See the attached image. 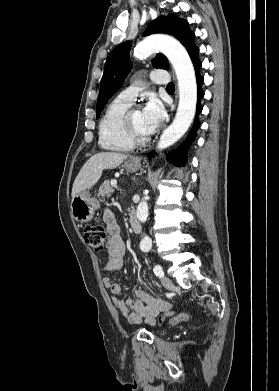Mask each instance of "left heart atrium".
<instances>
[{"label": "left heart atrium", "instance_id": "1", "mask_svg": "<svg viewBox=\"0 0 279 391\" xmlns=\"http://www.w3.org/2000/svg\"><path fill=\"white\" fill-rule=\"evenodd\" d=\"M145 126L149 133H153L165 117V111L161 103L150 97L142 110Z\"/></svg>", "mask_w": 279, "mask_h": 391}]
</instances>
